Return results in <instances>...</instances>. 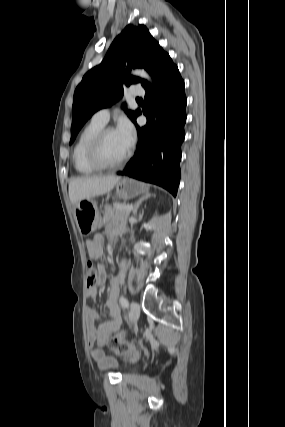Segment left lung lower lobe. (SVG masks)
<instances>
[{"instance_id": "obj_1", "label": "left lung lower lobe", "mask_w": 285, "mask_h": 427, "mask_svg": "<svg viewBox=\"0 0 285 427\" xmlns=\"http://www.w3.org/2000/svg\"><path fill=\"white\" fill-rule=\"evenodd\" d=\"M153 82V88L149 84L144 87L143 114L147 124H136L140 110L133 121L138 131L137 152L118 174L157 184L176 196L185 137L186 96L184 81L168 54L157 67Z\"/></svg>"}]
</instances>
